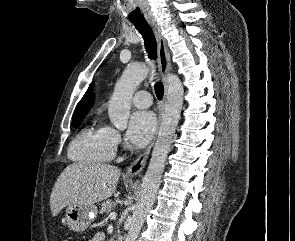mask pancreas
<instances>
[{
  "mask_svg": "<svg viewBox=\"0 0 295 241\" xmlns=\"http://www.w3.org/2000/svg\"><path fill=\"white\" fill-rule=\"evenodd\" d=\"M115 206V202L112 200H106L101 206L100 214L110 213L113 207Z\"/></svg>",
  "mask_w": 295,
  "mask_h": 241,
  "instance_id": "1",
  "label": "pancreas"
}]
</instances>
